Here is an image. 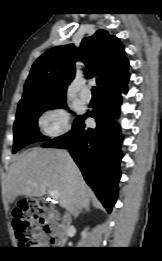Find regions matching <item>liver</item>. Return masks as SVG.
Wrapping results in <instances>:
<instances>
[{
  "label": "liver",
  "mask_w": 162,
  "mask_h": 261,
  "mask_svg": "<svg viewBox=\"0 0 162 261\" xmlns=\"http://www.w3.org/2000/svg\"><path fill=\"white\" fill-rule=\"evenodd\" d=\"M69 158L64 150L40 147L20 154L7 173L5 202L12 203L19 195L41 197L51 189L60 193L59 204L70 214L89 207L92 191Z\"/></svg>",
  "instance_id": "liver-1"
}]
</instances>
